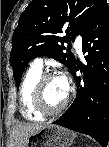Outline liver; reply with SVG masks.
I'll list each match as a JSON object with an SVG mask.
<instances>
[{"label":"liver","instance_id":"1","mask_svg":"<svg viewBox=\"0 0 109 147\" xmlns=\"http://www.w3.org/2000/svg\"><path fill=\"white\" fill-rule=\"evenodd\" d=\"M47 125L41 123H19L15 125L10 135V147H27L28 138Z\"/></svg>","mask_w":109,"mask_h":147}]
</instances>
